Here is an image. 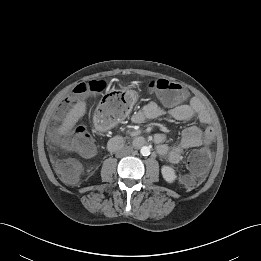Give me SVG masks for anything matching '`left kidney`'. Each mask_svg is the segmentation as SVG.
<instances>
[{
	"label": "left kidney",
	"instance_id": "obj_1",
	"mask_svg": "<svg viewBox=\"0 0 261 261\" xmlns=\"http://www.w3.org/2000/svg\"><path fill=\"white\" fill-rule=\"evenodd\" d=\"M161 173L164 180L168 183H173L177 177L174 169L170 166H166V165L162 166Z\"/></svg>",
	"mask_w": 261,
	"mask_h": 261
}]
</instances>
